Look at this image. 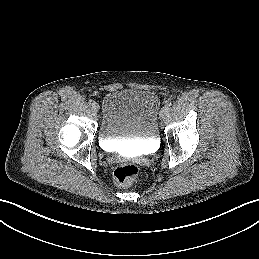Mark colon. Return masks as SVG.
Wrapping results in <instances>:
<instances>
[{"instance_id": "colon-1", "label": "colon", "mask_w": 259, "mask_h": 259, "mask_svg": "<svg viewBox=\"0 0 259 259\" xmlns=\"http://www.w3.org/2000/svg\"><path fill=\"white\" fill-rule=\"evenodd\" d=\"M140 170L133 163H122L113 170V180L118 187H129L138 181Z\"/></svg>"}]
</instances>
